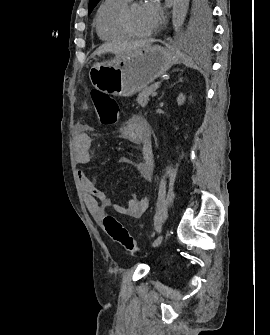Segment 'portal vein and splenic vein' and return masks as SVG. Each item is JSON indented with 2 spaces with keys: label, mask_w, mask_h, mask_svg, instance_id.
Returning <instances> with one entry per match:
<instances>
[{
  "label": "portal vein and splenic vein",
  "mask_w": 270,
  "mask_h": 335,
  "mask_svg": "<svg viewBox=\"0 0 270 335\" xmlns=\"http://www.w3.org/2000/svg\"><path fill=\"white\" fill-rule=\"evenodd\" d=\"M156 92H158V91H156ZM155 96H158V93L153 92V93L151 94V98H154Z\"/></svg>",
  "instance_id": "portal-vein-and-splenic-vein-1"
}]
</instances>
